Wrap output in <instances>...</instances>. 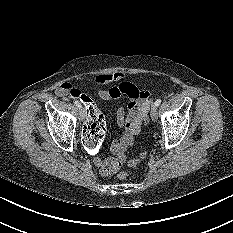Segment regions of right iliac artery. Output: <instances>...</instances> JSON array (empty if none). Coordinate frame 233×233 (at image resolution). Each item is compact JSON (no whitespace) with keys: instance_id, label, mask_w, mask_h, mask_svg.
Wrapping results in <instances>:
<instances>
[{"instance_id":"obj_1","label":"right iliac artery","mask_w":233,"mask_h":233,"mask_svg":"<svg viewBox=\"0 0 233 233\" xmlns=\"http://www.w3.org/2000/svg\"><path fill=\"white\" fill-rule=\"evenodd\" d=\"M74 104L78 107V108H81V104L79 103V101H75Z\"/></svg>"}]
</instances>
